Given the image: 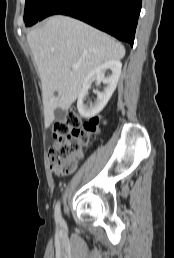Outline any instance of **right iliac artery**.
Returning <instances> with one entry per match:
<instances>
[{"mask_svg": "<svg viewBox=\"0 0 174 258\" xmlns=\"http://www.w3.org/2000/svg\"><path fill=\"white\" fill-rule=\"evenodd\" d=\"M55 219L59 223L63 222V219H62L61 213H60V203L59 202H57L56 207H55Z\"/></svg>", "mask_w": 174, "mask_h": 258, "instance_id": "right-iliac-artery-1", "label": "right iliac artery"}]
</instances>
